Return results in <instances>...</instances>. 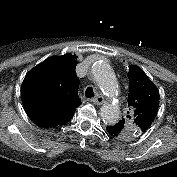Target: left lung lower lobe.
Listing matches in <instances>:
<instances>
[{
  "instance_id": "0a47b994",
  "label": "left lung lower lobe",
  "mask_w": 177,
  "mask_h": 177,
  "mask_svg": "<svg viewBox=\"0 0 177 177\" xmlns=\"http://www.w3.org/2000/svg\"><path fill=\"white\" fill-rule=\"evenodd\" d=\"M106 129L108 134L113 138H118L121 135V131L115 125L108 126Z\"/></svg>"
}]
</instances>
